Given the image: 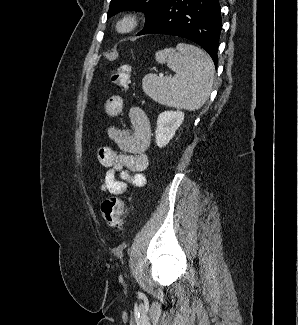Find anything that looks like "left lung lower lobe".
<instances>
[{
	"label": "left lung lower lobe",
	"instance_id": "left-lung-lower-lobe-1",
	"mask_svg": "<svg viewBox=\"0 0 298 325\" xmlns=\"http://www.w3.org/2000/svg\"><path fill=\"white\" fill-rule=\"evenodd\" d=\"M221 27L218 0H168L138 35L166 34L189 39L206 50L217 65Z\"/></svg>",
	"mask_w": 298,
	"mask_h": 325
}]
</instances>
